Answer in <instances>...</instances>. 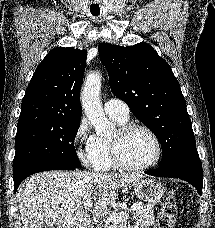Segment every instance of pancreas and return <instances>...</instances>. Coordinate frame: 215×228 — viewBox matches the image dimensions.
<instances>
[{
    "instance_id": "cf45deb5",
    "label": "pancreas",
    "mask_w": 215,
    "mask_h": 228,
    "mask_svg": "<svg viewBox=\"0 0 215 228\" xmlns=\"http://www.w3.org/2000/svg\"><path fill=\"white\" fill-rule=\"evenodd\" d=\"M134 224L138 226V228H148V226H152L155 222V218L153 216V210H148L147 206H142L141 210H136L133 216ZM107 228H128L127 222H115L113 226H107Z\"/></svg>"
}]
</instances>
